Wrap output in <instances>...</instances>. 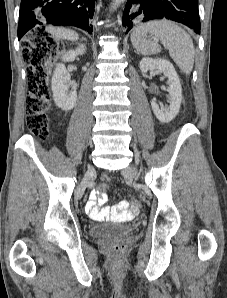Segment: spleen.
<instances>
[{
    "mask_svg": "<svg viewBox=\"0 0 227 298\" xmlns=\"http://www.w3.org/2000/svg\"><path fill=\"white\" fill-rule=\"evenodd\" d=\"M148 33L152 35L151 40L146 39ZM159 39L181 71L190 74L194 65V45L190 35L181 27L168 20H158L136 27L131 34L133 46L143 55L159 53Z\"/></svg>",
    "mask_w": 227,
    "mask_h": 298,
    "instance_id": "1",
    "label": "spleen"
}]
</instances>
